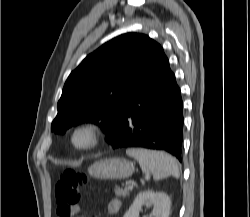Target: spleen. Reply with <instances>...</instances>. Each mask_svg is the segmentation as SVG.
<instances>
[{"label": "spleen", "mask_w": 250, "mask_h": 217, "mask_svg": "<svg viewBox=\"0 0 250 217\" xmlns=\"http://www.w3.org/2000/svg\"><path fill=\"white\" fill-rule=\"evenodd\" d=\"M126 154L135 158L145 173H151L154 180H161L169 176L179 177V166L175 158L163 151L144 148H129Z\"/></svg>", "instance_id": "obj_1"}]
</instances>
